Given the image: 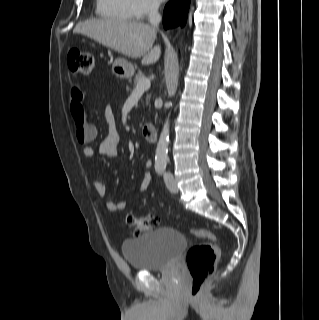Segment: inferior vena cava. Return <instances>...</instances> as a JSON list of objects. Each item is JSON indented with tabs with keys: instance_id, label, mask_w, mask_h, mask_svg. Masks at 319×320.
<instances>
[{
	"instance_id": "1",
	"label": "inferior vena cava",
	"mask_w": 319,
	"mask_h": 320,
	"mask_svg": "<svg viewBox=\"0 0 319 320\" xmlns=\"http://www.w3.org/2000/svg\"><path fill=\"white\" fill-rule=\"evenodd\" d=\"M158 8H159V3L156 1H153L150 5L148 20L150 24L153 25L154 27H158L161 21V16L158 12Z\"/></svg>"
}]
</instances>
